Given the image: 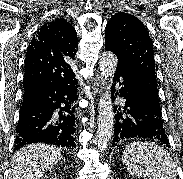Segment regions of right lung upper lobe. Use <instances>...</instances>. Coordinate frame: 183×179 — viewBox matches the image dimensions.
Returning a JSON list of instances; mask_svg holds the SVG:
<instances>
[{
    "label": "right lung upper lobe",
    "instance_id": "cb5924a9",
    "mask_svg": "<svg viewBox=\"0 0 183 179\" xmlns=\"http://www.w3.org/2000/svg\"><path fill=\"white\" fill-rule=\"evenodd\" d=\"M77 49V33L70 23L56 19L44 24L26 53L24 90L39 82L65 83L76 79L72 67Z\"/></svg>",
    "mask_w": 183,
    "mask_h": 179
}]
</instances>
